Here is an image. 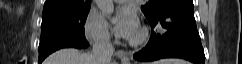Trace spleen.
I'll list each match as a JSON object with an SVG mask.
<instances>
[{"label":"spleen","instance_id":"obj_1","mask_svg":"<svg viewBox=\"0 0 242 64\" xmlns=\"http://www.w3.org/2000/svg\"><path fill=\"white\" fill-rule=\"evenodd\" d=\"M155 64H188V63L181 59H163V60L157 61Z\"/></svg>","mask_w":242,"mask_h":64}]
</instances>
